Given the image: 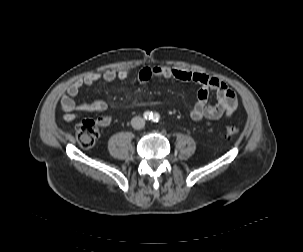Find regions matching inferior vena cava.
Listing matches in <instances>:
<instances>
[{
  "instance_id": "inferior-vena-cava-1",
  "label": "inferior vena cava",
  "mask_w": 303,
  "mask_h": 252,
  "mask_svg": "<svg viewBox=\"0 0 303 252\" xmlns=\"http://www.w3.org/2000/svg\"><path fill=\"white\" fill-rule=\"evenodd\" d=\"M131 125L136 130L142 129L145 126V120L140 116L133 117Z\"/></svg>"
}]
</instances>
